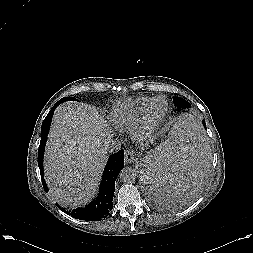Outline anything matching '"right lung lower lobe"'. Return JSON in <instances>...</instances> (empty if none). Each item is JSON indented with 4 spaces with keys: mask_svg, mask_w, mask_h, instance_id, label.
I'll list each match as a JSON object with an SVG mask.
<instances>
[{
    "mask_svg": "<svg viewBox=\"0 0 253 253\" xmlns=\"http://www.w3.org/2000/svg\"><path fill=\"white\" fill-rule=\"evenodd\" d=\"M59 100L49 111L48 115L44 119L41 127V141L38 150V166L40 169V175L42 176V183L44 190L48 192L47 185L43 178V156L46 145L49 128L52 121V116L56 107L61 104ZM124 150H119L117 153L111 155L105 166L102 181L99 189V194L89 205L84 208L75 209L73 211H66L60 208L62 211L71 215L72 217L86 221H100L109 215L113 206V195L115 190V180L119 171L124 167Z\"/></svg>",
    "mask_w": 253,
    "mask_h": 253,
    "instance_id": "1",
    "label": "right lung lower lobe"
}]
</instances>
